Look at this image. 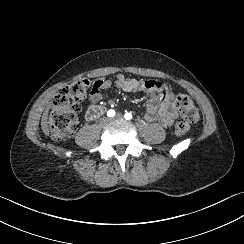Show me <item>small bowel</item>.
I'll use <instances>...</instances> for the list:
<instances>
[{"instance_id":"1","label":"small bowel","mask_w":244,"mask_h":244,"mask_svg":"<svg viewBox=\"0 0 244 244\" xmlns=\"http://www.w3.org/2000/svg\"><path fill=\"white\" fill-rule=\"evenodd\" d=\"M113 86L127 93H147L144 115L146 121L169 127L176 118L174 94L168 84L156 80L128 78L118 74L112 79H100L93 84L85 115L87 120H93V111L103 99V91Z\"/></svg>"}]
</instances>
